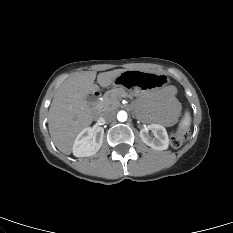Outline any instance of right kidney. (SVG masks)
Returning <instances> with one entry per match:
<instances>
[{"mask_svg": "<svg viewBox=\"0 0 233 233\" xmlns=\"http://www.w3.org/2000/svg\"><path fill=\"white\" fill-rule=\"evenodd\" d=\"M104 129H83L76 137L72 148L75 157H88L98 152L103 143Z\"/></svg>", "mask_w": 233, "mask_h": 233, "instance_id": "right-kidney-1", "label": "right kidney"}]
</instances>
